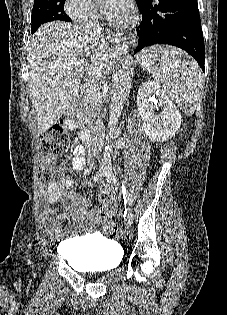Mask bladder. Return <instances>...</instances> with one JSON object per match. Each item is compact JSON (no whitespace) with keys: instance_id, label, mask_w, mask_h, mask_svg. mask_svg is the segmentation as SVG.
Masks as SVG:
<instances>
[{"instance_id":"31cf9c89","label":"bladder","mask_w":227,"mask_h":315,"mask_svg":"<svg viewBox=\"0 0 227 315\" xmlns=\"http://www.w3.org/2000/svg\"><path fill=\"white\" fill-rule=\"evenodd\" d=\"M66 248L74 249L75 253L66 251ZM61 253L70 266L78 270H108L117 267L121 260L118 244L96 235L68 239Z\"/></svg>"}]
</instances>
